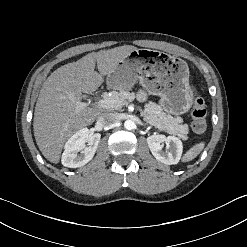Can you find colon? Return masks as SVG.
Segmentation results:
<instances>
[{"label":"colon","instance_id":"colon-1","mask_svg":"<svg viewBox=\"0 0 247 247\" xmlns=\"http://www.w3.org/2000/svg\"><path fill=\"white\" fill-rule=\"evenodd\" d=\"M207 110L202 98L196 96L192 103V129L195 133L201 134L206 129Z\"/></svg>","mask_w":247,"mask_h":247}]
</instances>
